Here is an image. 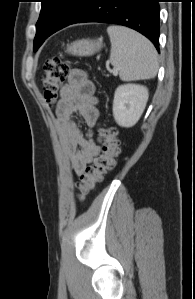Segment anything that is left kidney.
Here are the masks:
<instances>
[{
  "mask_svg": "<svg viewBox=\"0 0 195 299\" xmlns=\"http://www.w3.org/2000/svg\"><path fill=\"white\" fill-rule=\"evenodd\" d=\"M148 100V90L138 84L120 85L114 94L113 116L122 127H132L140 119Z\"/></svg>",
  "mask_w": 195,
  "mask_h": 299,
  "instance_id": "5707ae66",
  "label": "left kidney"
}]
</instances>
